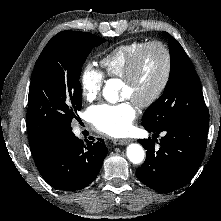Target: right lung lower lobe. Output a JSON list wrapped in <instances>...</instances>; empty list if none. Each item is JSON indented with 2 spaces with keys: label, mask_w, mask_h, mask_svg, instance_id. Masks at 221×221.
<instances>
[{
  "label": "right lung lower lobe",
  "mask_w": 221,
  "mask_h": 221,
  "mask_svg": "<svg viewBox=\"0 0 221 221\" xmlns=\"http://www.w3.org/2000/svg\"><path fill=\"white\" fill-rule=\"evenodd\" d=\"M106 155L103 139L84 144L69 130L50 138L33 157L48 184L63 191H77L95 180Z\"/></svg>",
  "instance_id": "obj_1"
}]
</instances>
